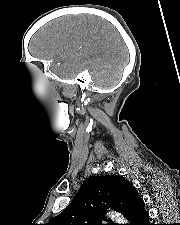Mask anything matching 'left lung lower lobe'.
I'll return each mask as SVG.
<instances>
[{
	"label": "left lung lower lobe",
	"instance_id": "left-lung-lower-lobe-1",
	"mask_svg": "<svg viewBox=\"0 0 180 225\" xmlns=\"http://www.w3.org/2000/svg\"><path fill=\"white\" fill-rule=\"evenodd\" d=\"M129 224L127 225H152L149 222V214L144 209V207L137 212H135L130 218H129Z\"/></svg>",
	"mask_w": 180,
	"mask_h": 225
}]
</instances>
